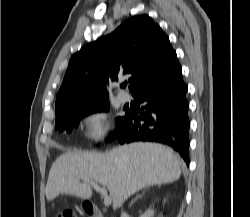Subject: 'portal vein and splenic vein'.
I'll return each mask as SVG.
<instances>
[{
	"label": "portal vein and splenic vein",
	"instance_id": "18ae733b",
	"mask_svg": "<svg viewBox=\"0 0 250 217\" xmlns=\"http://www.w3.org/2000/svg\"><path fill=\"white\" fill-rule=\"evenodd\" d=\"M86 184H90L95 190L100 192L104 196V205L109 206L112 202L111 196L107 194V190L104 187L99 186L96 182L89 180L85 177H80Z\"/></svg>",
	"mask_w": 250,
	"mask_h": 217
}]
</instances>
